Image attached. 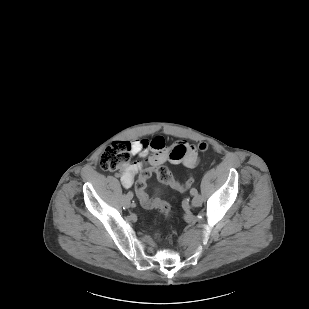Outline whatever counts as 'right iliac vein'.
I'll return each mask as SVG.
<instances>
[{
    "label": "right iliac vein",
    "instance_id": "right-iliac-vein-1",
    "mask_svg": "<svg viewBox=\"0 0 309 309\" xmlns=\"http://www.w3.org/2000/svg\"><path fill=\"white\" fill-rule=\"evenodd\" d=\"M131 199H132V198L127 199V198L125 197L124 202H125V205H126V206H131Z\"/></svg>",
    "mask_w": 309,
    "mask_h": 309
}]
</instances>
